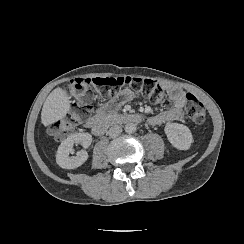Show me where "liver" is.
<instances>
[{"label":"liver","mask_w":244,"mask_h":244,"mask_svg":"<svg viewBox=\"0 0 244 244\" xmlns=\"http://www.w3.org/2000/svg\"><path fill=\"white\" fill-rule=\"evenodd\" d=\"M70 110V100L62 88L54 89L46 98L42 111L41 122L48 126L64 118Z\"/></svg>","instance_id":"6515ba94"}]
</instances>
